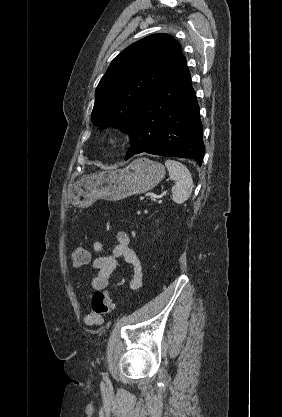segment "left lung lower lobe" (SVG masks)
<instances>
[{"label": "left lung lower lobe", "instance_id": "0a47b994", "mask_svg": "<svg viewBox=\"0 0 282 417\" xmlns=\"http://www.w3.org/2000/svg\"><path fill=\"white\" fill-rule=\"evenodd\" d=\"M125 160L142 152L202 164L204 144L196 94L182 56L135 113Z\"/></svg>", "mask_w": 282, "mask_h": 417}]
</instances>
